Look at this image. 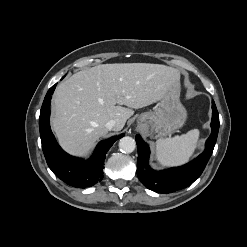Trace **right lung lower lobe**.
Segmentation results:
<instances>
[{
  "instance_id": "98d812e1",
  "label": "right lung lower lobe",
  "mask_w": 247,
  "mask_h": 247,
  "mask_svg": "<svg viewBox=\"0 0 247 247\" xmlns=\"http://www.w3.org/2000/svg\"><path fill=\"white\" fill-rule=\"evenodd\" d=\"M56 84L47 92L39 117L42 149L52 172L66 184L74 187H90L103 178L104 160L107 151L124 134L101 141L89 160L70 156L55 140L50 129V101Z\"/></svg>"
}]
</instances>
